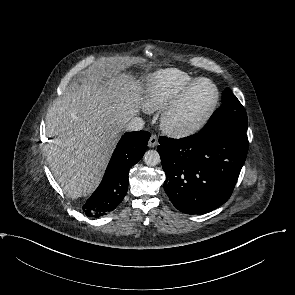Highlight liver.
I'll use <instances>...</instances> for the list:
<instances>
[{"label": "liver", "instance_id": "1", "mask_svg": "<svg viewBox=\"0 0 295 295\" xmlns=\"http://www.w3.org/2000/svg\"><path fill=\"white\" fill-rule=\"evenodd\" d=\"M140 93L134 77L102 71L72 85L48 109L47 161L69 197L87 196L98 187L120 132L139 113Z\"/></svg>", "mask_w": 295, "mask_h": 295}]
</instances>
